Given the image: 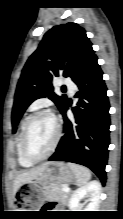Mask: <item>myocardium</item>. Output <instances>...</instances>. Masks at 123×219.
Masks as SVG:
<instances>
[{
    "instance_id": "myocardium-1",
    "label": "myocardium",
    "mask_w": 123,
    "mask_h": 219,
    "mask_svg": "<svg viewBox=\"0 0 123 219\" xmlns=\"http://www.w3.org/2000/svg\"><path fill=\"white\" fill-rule=\"evenodd\" d=\"M49 116L54 124H55V137H54V140L50 146V148L48 149V151L43 154L42 156H39V157H35V156H32L28 149H27V137H28V132H29V128L31 126V123L33 122V120L35 118H37L38 116ZM61 126L58 122V120L56 119V117L50 113L49 111L47 110H38L34 113H32L26 120L25 122V125H24V128H23V132H22V136H21V151H22V154L23 156L25 157V159H27L28 161L32 162V163H36V162H40V161H43L45 160L46 158H48L53 152L54 150L56 149L59 141H60V138H61Z\"/></svg>"
}]
</instances>
